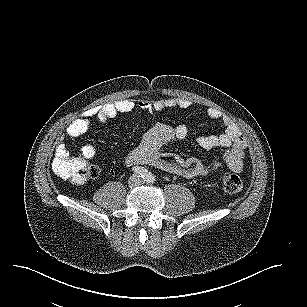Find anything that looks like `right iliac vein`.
Instances as JSON below:
<instances>
[{
    "instance_id": "right-iliac-vein-1",
    "label": "right iliac vein",
    "mask_w": 307,
    "mask_h": 307,
    "mask_svg": "<svg viewBox=\"0 0 307 307\" xmlns=\"http://www.w3.org/2000/svg\"><path fill=\"white\" fill-rule=\"evenodd\" d=\"M128 184L130 187H134L137 184V176L130 177Z\"/></svg>"
}]
</instances>
